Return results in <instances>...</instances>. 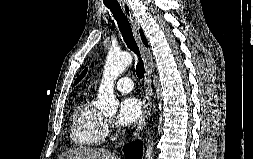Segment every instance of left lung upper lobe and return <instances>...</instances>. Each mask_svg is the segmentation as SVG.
<instances>
[{
    "label": "left lung upper lobe",
    "instance_id": "1",
    "mask_svg": "<svg viewBox=\"0 0 253 159\" xmlns=\"http://www.w3.org/2000/svg\"><path fill=\"white\" fill-rule=\"evenodd\" d=\"M86 69L83 71V73L75 80V83H77L78 81H80L83 77H84V75L86 74Z\"/></svg>",
    "mask_w": 253,
    "mask_h": 159
}]
</instances>
